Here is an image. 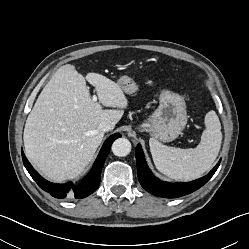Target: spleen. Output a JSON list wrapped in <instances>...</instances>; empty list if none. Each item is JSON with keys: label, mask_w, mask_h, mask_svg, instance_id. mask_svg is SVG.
Here are the masks:
<instances>
[{"label": "spleen", "mask_w": 249, "mask_h": 249, "mask_svg": "<svg viewBox=\"0 0 249 249\" xmlns=\"http://www.w3.org/2000/svg\"><path fill=\"white\" fill-rule=\"evenodd\" d=\"M205 126L196 148L169 147L150 138V151L156 168L172 179L189 181L201 177L217 158L222 141L221 124L215 111L206 114Z\"/></svg>", "instance_id": "obj_1"}]
</instances>
